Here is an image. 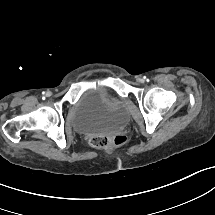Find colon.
I'll return each mask as SVG.
<instances>
[{
	"label": "colon",
	"instance_id": "5ec220e1",
	"mask_svg": "<svg viewBox=\"0 0 215 215\" xmlns=\"http://www.w3.org/2000/svg\"><path fill=\"white\" fill-rule=\"evenodd\" d=\"M123 139L124 136L120 134L97 136L92 138L91 144L93 147L96 148H108L112 146L121 145Z\"/></svg>",
	"mask_w": 215,
	"mask_h": 215
}]
</instances>
